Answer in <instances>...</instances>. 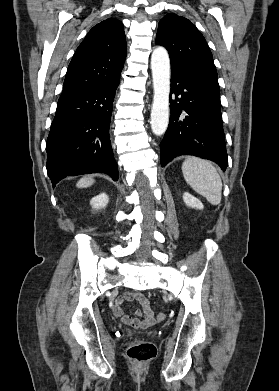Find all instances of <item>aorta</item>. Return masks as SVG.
<instances>
[{
    "mask_svg": "<svg viewBox=\"0 0 279 391\" xmlns=\"http://www.w3.org/2000/svg\"><path fill=\"white\" fill-rule=\"evenodd\" d=\"M154 97L151 129L155 135L165 133L169 122L170 60L164 47H156L151 55Z\"/></svg>",
    "mask_w": 279,
    "mask_h": 391,
    "instance_id": "obj_1",
    "label": "aorta"
}]
</instances>
